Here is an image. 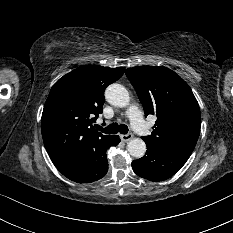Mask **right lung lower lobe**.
Returning a JSON list of instances; mask_svg holds the SVG:
<instances>
[{"instance_id":"1","label":"right lung lower lobe","mask_w":233,"mask_h":233,"mask_svg":"<svg viewBox=\"0 0 233 233\" xmlns=\"http://www.w3.org/2000/svg\"><path fill=\"white\" fill-rule=\"evenodd\" d=\"M119 142V136H112L104 146L57 161L54 164L65 177L74 182L97 181L104 177L108 171L107 149L111 146H117Z\"/></svg>"}]
</instances>
